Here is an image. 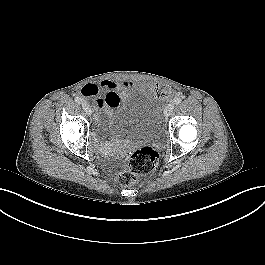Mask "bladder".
I'll list each match as a JSON object with an SVG mask.
<instances>
[{
  "label": "bladder",
  "instance_id": "bladder-1",
  "mask_svg": "<svg viewBox=\"0 0 265 265\" xmlns=\"http://www.w3.org/2000/svg\"><path fill=\"white\" fill-rule=\"evenodd\" d=\"M112 135L154 138L162 131V115L155 94L142 83L126 89L112 114Z\"/></svg>",
  "mask_w": 265,
  "mask_h": 265
}]
</instances>
